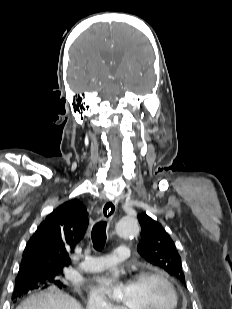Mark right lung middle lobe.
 Returning a JSON list of instances; mask_svg holds the SVG:
<instances>
[{
    "label": "right lung middle lobe",
    "instance_id": "1",
    "mask_svg": "<svg viewBox=\"0 0 232 309\" xmlns=\"http://www.w3.org/2000/svg\"><path fill=\"white\" fill-rule=\"evenodd\" d=\"M61 273L62 270L39 271L37 273L20 270L16 278L15 286L37 281L41 288L48 286L61 287L63 286V282L60 279Z\"/></svg>",
    "mask_w": 232,
    "mask_h": 309
}]
</instances>
